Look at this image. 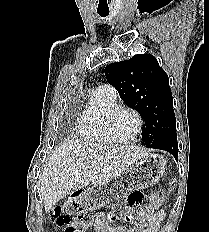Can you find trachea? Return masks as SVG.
I'll return each instance as SVG.
<instances>
[{
	"label": "trachea",
	"instance_id": "obj_1",
	"mask_svg": "<svg viewBox=\"0 0 209 232\" xmlns=\"http://www.w3.org/2000/svg\"><path fill=\"white\" fill-rule=\"evenodd\" d=\"M98 14H99L101 17H106V16H108L109 11H105V12H98Z\"/></svg>",
	"mask_w": 209,
	"mask_h": 232
}]
</instances>
